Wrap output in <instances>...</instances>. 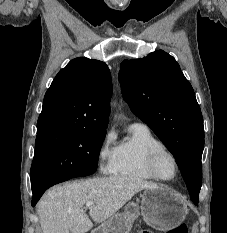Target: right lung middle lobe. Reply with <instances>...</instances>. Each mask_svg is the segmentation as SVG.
<instances>
[{
    "instance_id": "obj_1",
    "label": "right lung middle lobe",
    "mask_w": 227,
    "mask_h": 233,
    "mask_svg": "<svg viewBox=\"0 0 227 233\" xmlns=\"http://www.w3.org/2000/svg\"><path fill=\"white\" fill-rule=\"evenodd\" d=\"M106 129H52L37 133L31 187L93 174Z\"/></svg>"
}]
</instances>
